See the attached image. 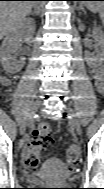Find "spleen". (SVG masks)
<instances>
[{"label":"spleen","instance_id":"3e777b00","mask_svg":"<svg viewBox=\"0 0 104 189\" xmlns=\"http://www.w3.org/2000/svg\"><path fill=\"white\" fill-rule=\"evenodd\" d=\"M85 6L92 12L102 11L103 3L101 1H86Z\"/></svg>","mask_w":104,"mask_h":189}]
</instances>
